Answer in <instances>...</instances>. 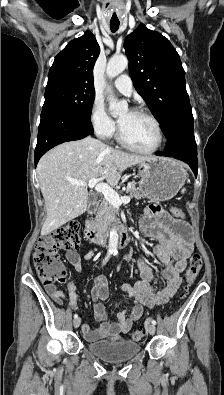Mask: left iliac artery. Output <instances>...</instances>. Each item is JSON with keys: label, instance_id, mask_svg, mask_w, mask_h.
<instances>
[{"label": "left iliac artery", "instance_id": "obj_1", "mask_svg": "<svg viewBox=\"0 0 224 395\" xmlns=\"http://www.w3.org/2000/svg\"><path fill=\"white\" fill-rule=\"evenodd\" d=\"M117 253H118V251H115V252H114V255H117ZM151 323H152L153 325H156V321H155L154 319H151Z\"/></svg>", "mask_w": 224, "mask_h": 395}]
</instances>
